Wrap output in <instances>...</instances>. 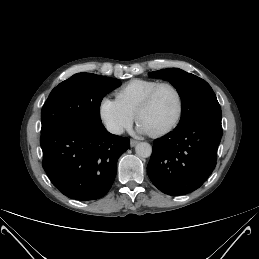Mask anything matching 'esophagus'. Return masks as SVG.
Wrapping results in <instances>:
<instances>
[{
  "label": "esophagus",
  "instance_id": "esophagus-1",
  "mask_svg": "<svg viewBox=\"0 0 259 259\" xmlns=\"http://www.w3.org/2000/svg\"><path fill=\"white\" fill-rule=\"evenodd\" d=\"M137 143H138L137 140H134V139H131V140H130V146H131V147H134Z\"/></svg>",
  "mask_w": 259,
  "mask_h": 259
}]
</instances>
